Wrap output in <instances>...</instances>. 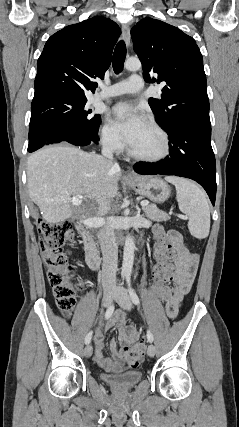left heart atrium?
Returning <instances> with one entry per match:
<instances>
[{"mask_svg": "<svg viewBox=\"0 0 239 427\" xmlns=\"http://www.w3.org/2000/svg\"><path fill=\"white\" fill-rule=\"evenodd\" d=\"M114 123L128 144L136 137L137 133L145 123L144 116L138 109L120 103L113 108Z\"/></svg>", "mask_w": 239, "mask_h": 427, "instance_id": "obj_1", "label": "left heart atrium"}]
</instances>
